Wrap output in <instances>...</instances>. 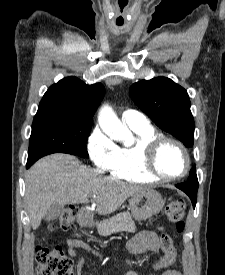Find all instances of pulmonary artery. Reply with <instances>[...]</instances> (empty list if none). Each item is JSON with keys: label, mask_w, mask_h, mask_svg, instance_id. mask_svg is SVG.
<instances>
[{"label": "pulmonary artery", "mask_w": 225, "mask_h": 275, "mask_svg": "<svg viewBox=\"0 0 225 275\" xmlns=\"http://www.w3.org/2000/svg\"><path fill=\"white\" fill-rule=\"evenodd\" d=\"M122 120L128 126H147L149 121L144 114L136 110H125L122 113Z\"/></svg>", "instance_id": "1"}]
</instances>
